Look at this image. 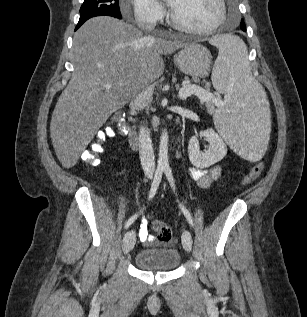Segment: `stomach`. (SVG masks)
Here are the masks:
<instances>
[{
	"label": "stomach",
	"instance_id": "stomach-1",
	"mask_svg": "<svg viewBox=\"0 0 307 317\" xmlns=\"http://www.w3.org/2000/svg\"><path fill=\"white\" fill-rule=\"evenodd\" d=\"M208 49L197 43H190L174 56V63L181 72L191 77H205L211 66Z\"/></svg>",
	"mask_w": 307,
	"mask_h": 317
}]
</instances>
